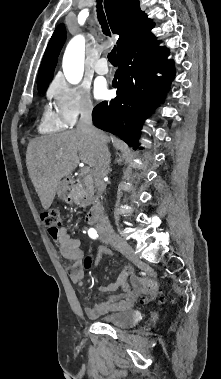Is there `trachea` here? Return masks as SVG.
<instances>
[{"label": "trachea", "mask_w": 221, "mask_h": 379, "mask_svg": "<svg viewBox=\"0 0 221 379\" xmlns=\"http://www.w3.org/2000/svg\"><path fill=\"white\" fill-rule=\"evenodd\" d=\"M98 1V20L100 21V24L102 25V29H103V32L105 35H108L110 36V30H109V27H108V24H107V21H106V18H105V14H104V11L102 9V7L100 6L101 4V0H97ZM108 60L109 62L112 64V65H117V61H116V48L114 47L112 49V51L108 54Z\"/></svg>", "instance_id": "3493384b"}]
</instances>
